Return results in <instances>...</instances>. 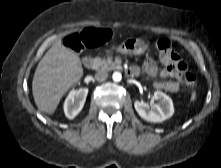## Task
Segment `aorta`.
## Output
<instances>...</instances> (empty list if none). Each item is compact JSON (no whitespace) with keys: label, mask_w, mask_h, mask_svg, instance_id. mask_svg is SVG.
I'll return each instance as SVG.
<instances>
[{"label":"aorta","mask_w":221,"mask_h":168,"mask_svg":"<svg viewBox=\"0 0 221 168\" xmlns=\"http://www.w3.org/2000/svg\"><path fill=\"white\" fill-rule=\"evenodd\" d=\"M112 77L115 82H120L122 79V75L120 72H114Z\"/></svg>","instance_id":"1"}]
</instances>
